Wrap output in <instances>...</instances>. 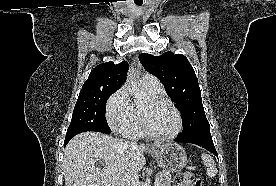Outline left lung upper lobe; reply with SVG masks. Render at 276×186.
<instances>
[{
    "label": "left lung upper lobe",
    "instance_id": "1",
    "mask_svg": "<svg viewBox=\"0 0 276 186\" xmlns=\"http://www.w3.org/2000/svg\"><path fill=\"white\" fill-rule=\"evenodd\" d=\"M140 62L144 68L163 83L169 97L183 115L185 136L198 130L210 129L202 105L201 91L193 67L181 54L166 52L161 56L142 53Z\"/></svg>",
    "mask_w": 276,
    "mask_h": 186
}]
</instances>
